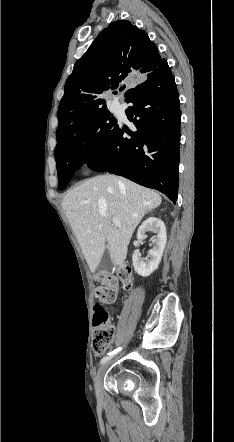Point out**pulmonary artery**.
I'll return each mask as SVG.
<instances>
[{
    "label": "pulmonary artery",
    "mask_w": 234,
    "mask_h": 442,
    "mask_svg": "<svg viewBox=\"0 0 234 442\" xmlns=\"http://www.w3.org/2000/svg\"><path fill=\"white\" fill-rule=\"evenodd\" d=\"M112 107H113V109H114L115 111H118V110H119V106H118L117 103H113V104H112Z\"/></svg>",
    "instance_id": "e3ab8cb5"
}]
</instances>
